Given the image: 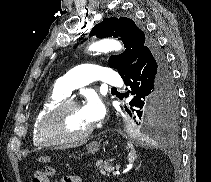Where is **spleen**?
Segmentation results:
<instances>
[{
    "mask_svg": "<svg viewBox=\"0 0 211 182\" xmlns=\"http://www.w3.org/2000/svg\"><path fill=\"white\" fill-rule=\"evenodd\" d=\"M127 145H128V149H130V153L128 155V161L129 163H133L135 159L137 158L136 151L132 144L128 143Z\"/></svg>",
    "mask_w": 211,
    "mask_h": 182,
    "instance_id": "1",
    "label": "spleen"
}]
</instances>
